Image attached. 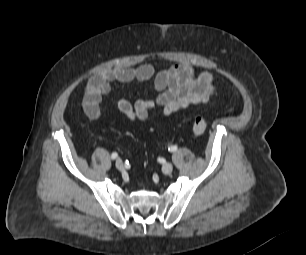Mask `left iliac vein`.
<instances>
[{"label":"left iliac vein","mask_w":306,"mask_h":255,"mask_svg":"<svg viewBox=\"0 0 306 255\" xmlns=\"http://www.w3.org/2000/svg\"><path fill=\"white\" fill-rule=\"evenodd\" d=\"M172 170H173V164L172 163L167 162V163H164L162 165V172L164 174L168 175V174H170L172 172Z\"/></svg>","instance_id":"left-iliac-vein-1"}]
</instances>
